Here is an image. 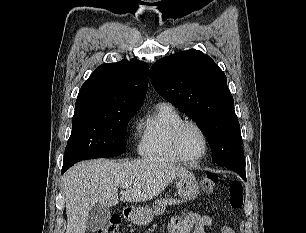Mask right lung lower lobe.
<instances>
[{
  "label": "right lung lower lobe",
  "instance_id": "right-lung-lower-lobe-1",
  "mask_svg": "<svg viewBox=\"0 0 306 233\" xmlns=\"http://www.w3.org/2000/svg\"><path fill=\"white\" fill-rule=\"evenodd\" d=\"M68 168H69L68 166L63 165V167H62V173H64Z\"/></svg>",
  "mask_w": 306,
  "mask_h": 233
}]
</instances>
